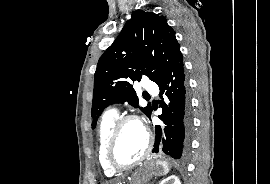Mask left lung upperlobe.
Returning a JSON list of instances; mask_svg holds the SVG:
<instances>
[{
    "label": "left lung upper lobe",
    "mask_w": 270,
    "mask_h": 184,
    "mask_svg": "<svg viewBox=\"0 0 270 184\" xmlns=\"http://www.w3.org/2000/svg\"><path fill=\"white\" fill-rule=\"evenodd\" d=\"M180 51L174 30L165 17L138 10L114 43L100 57L94 76L92 128L105 107L124 103L138 107L132 82L143 75L158 82ZM140 110L150 118L152 107Z\"/></svg>",
    "instance_id": "5c2ea615"
}]
</instances>
